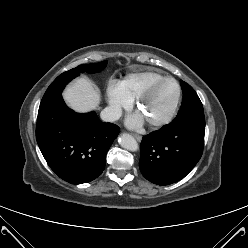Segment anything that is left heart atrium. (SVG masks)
I'll return each mask as SVG.
<instances>
[{
	"instance_id": "left-heart-atrium-1",
	"label": "left heart atrium",
	"mask_w": 248,
	"mask_h": 248,
	"mask_svg": "<svg viewBox=\"0 0 248 248\" xmlns=\"http://www.w3.org/2000/svg\"><path fill=\"white\" fill-rule=\"evenodd\" d=\"M144 119L139 114H132L128 116L126 123L129 127L138 129L143 125Z\"/></svg>"
}]
</instances>
